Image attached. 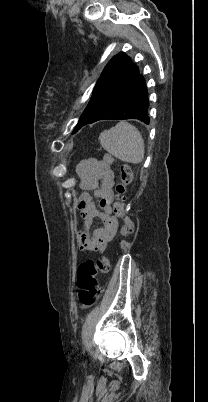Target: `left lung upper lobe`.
I'll return each mask as SVG.
<instances>
[{
  "label": "left lung upper lobe",
  "instance_id": "obj_1",
  "mask_svg": "<svg viewBox=\"0 0 208 402\" xmlns=\"http://www.w3.org/2000/svg\"><path fill=\"white\" fill-rule=\"evenodd\" d=\"M135 66L125 53L114 56L104 68L94 88L88 106L81 115L73 133L86 124L97 121L103 113L115 104L139 76Z\"/></svg>",
  "mask_w": 208,
  "mask_h": 402
}]
</instances>
